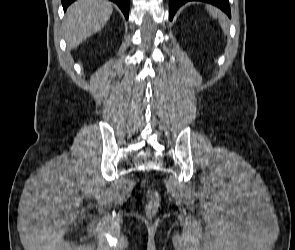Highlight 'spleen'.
<instances>
[{"mask_svg":"<svg viewBox=\"0 0 295 250\" xmlns=\"http://www.w3.org/2000/svg\"><path fill=\"white\" fill-rule=\"evenodd\" d=\"M206 9L213 18L218 19L223 32L227 33L229 24L225 14L222 13L219 9L212 6H207Z\"/></svg>","mask_w":295,"mask_h":250,"instance_id":"obj_1","label":"spleen"}]
</instances>
